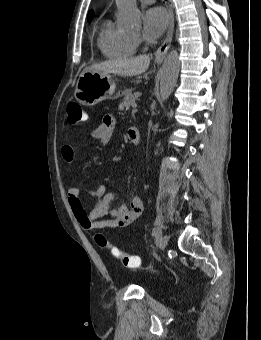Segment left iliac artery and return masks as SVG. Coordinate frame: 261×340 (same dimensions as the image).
<instances>
[{
    "label": "left iliac artery",
    "instance_id": "1",
    "mask_svg": "<svg viewBox=\"0 0 261 340\" xmlns=\"http://www.w3.org/2000/svg\"><path fill=\"white\" fill-rule=\"evenodd\" d=\"M162 234L161 230L160 229H154L153 232H152V235L154 237H159L160 235Z\"/></svg>",
    "mask_w": 261,
    "mask_h": 340
}]
</instances>
